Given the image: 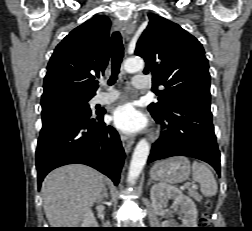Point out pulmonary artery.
Masks as SVG:
<instances>
[{"label": "pulmonary artery", "mask_w": 252, "mask_h": 231, "mask_svg": "<svg viewBox=\"0 0 252 231\" xmlns=\"http://www.w3.org/2000/svg\"><path fill=\"white\" fill-rule=\"evenodd\" d=\"M133 86L138 89H145L151 86V81L146 75L137 74L133 78ZM119 97V92L110 89L108 92H100L94 97V103L96 104H109L114 102Z\"/></svg>", "instance_id": "1"}]
</instances>
